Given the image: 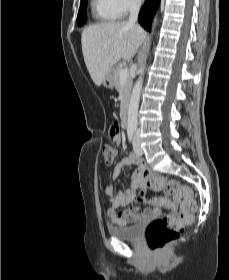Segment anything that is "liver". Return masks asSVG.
I'll return each instance as SVG.
<instances>
[{"instance_id":"liver-1","label":"liver","mask_w":229,"mask_h":280,"mask_svg":"<svg viewBox=\"0 0 229 280\" xmlns=\"http://www.w3.org/2000/svg\"><path fill=\"white\" fill-rule=\"evenodd\" d=\"M139 26L125 21L105 22L85 28L81 35L82 52L87 70L95 85L120 59L131 60L145 39Z\"/></svg>"}]
</instances>
